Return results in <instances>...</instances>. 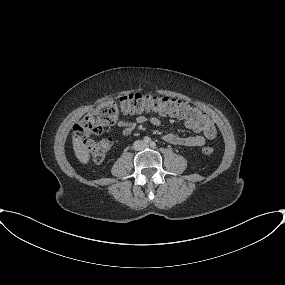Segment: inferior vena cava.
<instances>
[{
    "label": "inferior vena cava",
    "instance_id": "1",
    "mask_svg": "<svg viewBox=\"0 0 285 285\" xmlns=\"http://www.w3.org/2000/svg\"><path fill=\"white\" fill-rule=\"evenodd\" d=\"M145 147H146V144L141 140H137L133 144V149L136 151L143 150Z\"/></svg>",
    "mask_w": 285,
    "mask_h": 285
}]
</instances>
